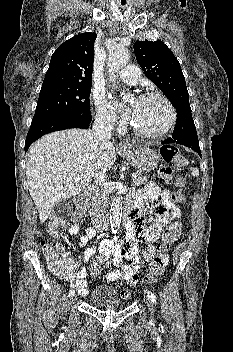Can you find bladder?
<instances>
[{"label":"bladder","mask_w":233,"mask_h":352,"mask_svg":"<svg viewBox=\"0 0 233 352\" xmlns=\"http://www.w3.org/2000/svg\"><path fill=\"white\" fill-rule=\"evenodd\" d=\"M90 302L97 308H123L127 304L121 290L107 285L98 286L93 291Z\"/></svg>","instance_id":"1"}]
</instances>
